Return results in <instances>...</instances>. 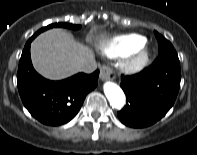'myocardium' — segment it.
I'll return each mask as SVG.
<instances>
[{"instance_id": "f54148a6", "label": "myocardium", "mask_w": 197, "mask_h": 155, "mask_svg": "<svg viewBox=\"0 0 197 155\" xmlns=\"http://www.w3.org/2000/svg\"><path fill=\"white\" fill-rule=\"evenodd\" d=\"M150 56V51L142 45L131 54L126 66L128 69L133 71L141 70L150 61Z\"/></svg>"}]
</instances>
